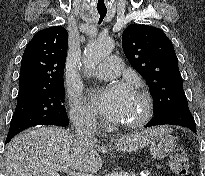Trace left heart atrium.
<instances>
[{"label":"left heart atrium","instance_id":"39dd6f15","mask_svg":"<svg viewBox=\"0 0 205 176\" xmlns=\"http://www.w3.org/2000/svg\"><path fill=\"white\" fill-rule=\"evenodd\" d=\"M133 97L130 85H112L92 93L96 108L111 120H118Z\"/></svg>","mask_w":205,"mask_h":176}]
</instances>
